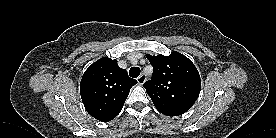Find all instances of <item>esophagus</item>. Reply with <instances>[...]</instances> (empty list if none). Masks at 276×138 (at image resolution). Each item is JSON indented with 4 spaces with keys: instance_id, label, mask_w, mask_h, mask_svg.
<instances>
[{
    "instance_id": "obj_1",
    "label": "esophagus",
    "mask_w": 276,
    "mask_h": 138,
    "mask_svg": "<svg viewBox=\"0 0 276 138\" xmlns=\"http://www.w3.org/2000/svg\"><path fill=\"white\" fill-rule=\"evenodd\" d=\"M146 81V77L144 74H141L138 78H137V82L142 85L144 82Z\"/></svg>"
}]
</instances>
